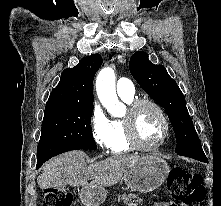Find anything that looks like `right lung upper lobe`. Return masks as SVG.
I'll return each mask as SVG.
<instances>
[{
	"label": "right lung upper lobe",
	"instance_id": "cb5924a9",
	"mask_svg": "<svg viewBox=\"0 0 221 206\" xmlns=\"http://www.w3.org/2000/svg\"><path fill=\"white\" fill-rule=\"evenodd\" d=\"M101 64L102 57L93 54L82 58L75 67L65 69L50 94L45 110L93 106V79Z\"/></svg>",
	"mask_w": 221,
	"mask_h": 206
}]
</instances>
